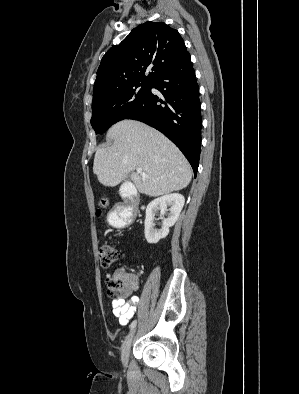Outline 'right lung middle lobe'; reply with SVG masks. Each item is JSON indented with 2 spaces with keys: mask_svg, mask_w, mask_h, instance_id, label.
I'll list each match as a JSON object with an SVG mask.
<instances>
[{
  "mask_svg": "<svg viewBox=\"0 0 299 394\" xmlns=\"http://www.w3.org/2000/svg\"><path fill=\"white\" fill-rule=\"evenodd\" d=\"M151 82H137L93 94L91 125L96 134L137 108L150 90Z\"/></svg>",
  "mask_w": 299,
  "mask_h": 394,
  "instance_id": "1",
  "label": "right lung middle lobe"
}]
</instances>
